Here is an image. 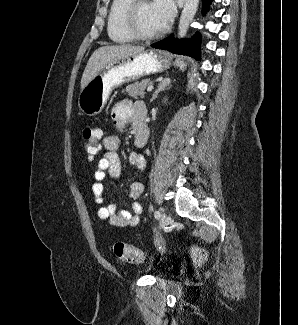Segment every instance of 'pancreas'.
Segmentation results:
<instances>
[{
    "instance_id": "cf45deb5",
    "label": "pancreas",
    "mask_w": 298,
    "mask_h": 325,
    "mask_svg": "<svg viewBox=\"0 0 298 325\" xmlns=\"http://www.w3.org/2000/svg\"><path fill=\"white\" fill-rule=\"evenodd\" d=\"M148 84H151V78H142V80H137L133 84H128L126 88H122L121 92L130 96V98H143Z\"/></svg>"
}]
</instances>
